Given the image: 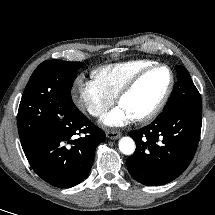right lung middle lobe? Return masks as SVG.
I'll list each match as a JSON object with an SVG mask.
<instances>
[{
  "label": "right lung middle lobe",
  "instance_id": "obj_1",
  "mask_svg": "<svg viewBox=\"0 0 215 215\" xmlns=\"http://www.w3.org/2000/svg\"><path fill=\"white\" fill-rule=\"evenodd\" d=\"M80 62L51 60L34 71L23 92L17 122L21 143L78 111L71 88Z\"/></svg>",
  "mask_w": 215,
  "mask_h": 215
}]
</instances>
